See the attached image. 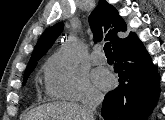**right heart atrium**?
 Masks as SVG:
<instances>
[{"label":"right heart atrium","mask_w":165,"mask_h":120,"mask_svg":"<svg viewBox=\"0 0 165 120\" xmlns=\"http://www.w3.org/2000/svg\"><path fill=\"white\" fill-rule=\"evenodd\" d=\"M45 86L54 98L89 101L100 97L86 71L70 66L60 54L52 56L47 63Z\"/></svg>","instance_id":"obj_1"}]
</instances>
